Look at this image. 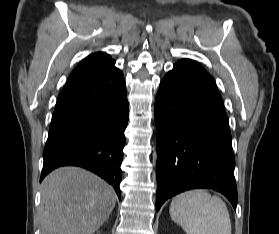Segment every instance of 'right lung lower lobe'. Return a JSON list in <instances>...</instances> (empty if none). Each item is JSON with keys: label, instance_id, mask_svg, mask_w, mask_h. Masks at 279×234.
<instances>
[{"label": "right lung lower lobe", "instance_id": "98d812e1", "mask_svg": "<svg viewBox=\"0 0 279 234\" xmlns=\"http://www.w3.org/2000/svg\"><path fill=\"white\" fill-rule=\"evenodd\" d=\"M114 64L96 76L65 85L60 92L40 182L57 167L80 166L105 179L121 198L129 106L124 76Z\"/></svg>", "mask_w": 279, "mask_h": 234}]
</instances>
